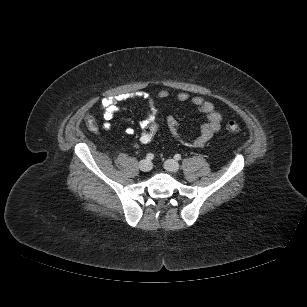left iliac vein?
Listing matches in <instances>:
<instances>
[{
	"label": "left iliac vein",
	"instance_id": "obj_1",
	"mask_svg": "<svg viewBox=\"0 0 307 307\" xmlns=\"http://www.w3.org/2000/svg\"><path fill=\"white\" fill-rule=\"evenodd\" d=\"M179 163L173 159H168L164 162V168L172 173H175L179 170Z\"/></svg>",
	"mask_w": 307,
	"mask_h": 307
}]
</instances>
